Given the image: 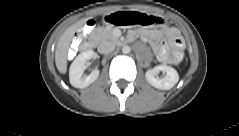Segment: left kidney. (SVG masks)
<instances>
[{
    "label": "left kidney",
    "mask_w": 239,
    "mask_h": 136,
    "mask_svg": "<svg viewBox=\"0 0 239 136\" xmlns=\"http://www.w3.org/2000/svg\"><path fill=\"white\" fill-rule=\"evenodd\" d=\"M162 71L166 73L164 78H159L158 73ZM147 82L157 89L169 90L179 81L178 72L167 65H158L148 70L145 74Z\"/></svg>",
    "instance_id": "left-kidney-1"
}]
</instances>
